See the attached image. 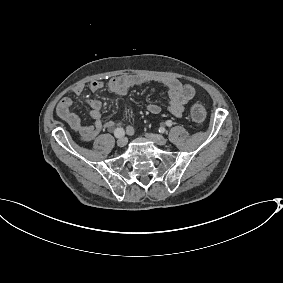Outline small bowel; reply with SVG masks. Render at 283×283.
<instances>
[{
	"mask_svg": "<svg viewBox=\"0 0 283 283\" xmlns=\"http://www.w3.org/2000/svg\"><path fill=\"white\" fill-rule=\"evenodd\" d=\"M145 83H160L168 92L169 104L168 111L175 117H181L185 105L194 97L195 89L190 84H183L176 78H159L150 77L140 74H122L111 78L108 82L109 90L116 96L123 97L127 94L129 88ZM104 86L103 81H92L88 89L96 92ZM85 85L79 84L74 88L76 95H82L85 91ZM89 106V116L93 120V124L84 123L83 120L73 111V102L70 98L64 97L57 105L56 112L59 118L65 121L68 126L79 133L83 141L93 140L98 133L108 129L122 128L127 134H133L134 128L130 124H124L114 120L102 119L101 108L102 103L97 99H85ZM147 111L151 114H158L161 107L155 103L147 105Z\"/></svg>",
	"mask_w": 283,
	"mask_h": 283,
	"instance_id": "1",
	"label": "small bowel"
}]
</instances>
